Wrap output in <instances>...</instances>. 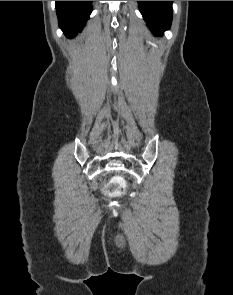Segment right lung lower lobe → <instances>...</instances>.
<instances>
[{"mask_svg":"<svg viewBox=\"0 0 233 295\" xmlns=\"http://www.w3.org/2000/svg\"><path fill=\"white\" fill-rule=\"evenodd\" d=\"M59 26L67 37L80 32L92 12V1H55Z\"/></svg>","mask_w":233,"mask_h":295,"instance_id":"1","label":"right lung lower lobe"}]
</instances>
